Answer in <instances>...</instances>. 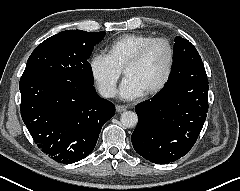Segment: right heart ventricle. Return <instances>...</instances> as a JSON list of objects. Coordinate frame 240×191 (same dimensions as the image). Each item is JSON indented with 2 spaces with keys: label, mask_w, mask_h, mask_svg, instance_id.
Listing matches in <instances>:
<instances>
[{
  "label": "right heart ventricle",
  "mask_w": 240,
  "mask_h": 191,
  "mask_svg": "<svg viewBox=\"0 0 240 191\" xmlns=\"http://www.w3.org/2000/svg\"><path fill=\"white\" fill-rule=\"evenodd\" d=\"M153 36L146 34H126L112 41L107 47V55L119 68L123 69L136 51Z\"/></svg>",
  "instance_id": "1"
}]
</instances>
